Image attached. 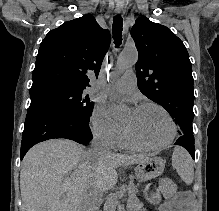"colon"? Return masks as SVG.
<instances>
[{"mask_svg": "<svg viewBox=\"0 0 219 211\" xmlns=\"http://www.w3.org/2000/svg\"><path fill=\"white\" fill-rule=\"evenodd\" d=\"M160 189H161L163 195L165 196V198L169 202L174 201L175 195H176V186L171 179H169V178L161 179Z\"/></svg>", "mask_w": 219, "mask_h": 211, "instance_id": "5ec220e1", "label": "colon"}]
</instances>
